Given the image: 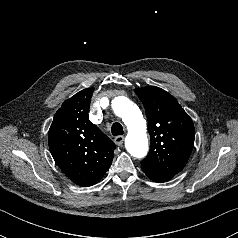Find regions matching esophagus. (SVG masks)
<instances>
[{
  "instance_id": "esophagus-1",
  "label": "esophagus",
  "mask_w": 238,
  "mask_h": 238,
  "mask_svg": "<svg viewBox=\"0 0 238 238\" xmlns=\"http://www.w3.org/2000/svg\"><path fill=\"white\" fill-rule=\"evenodd\" d=\"M114 142L117 146H122V144L124 142V136H116L114 138Z\"/></svg>"
}]
</instances>
